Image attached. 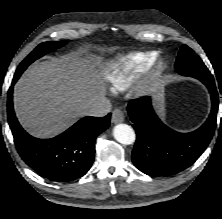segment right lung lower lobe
I'll return each instance as SVG.
<instances>
[{"label": "right lung lower lobe", "instance_id": "obj_1", "mask_svg": "<svg viewBox=\"0 0 222 219\" xmlns=\"http://www.w3.org/2000/svg\"><path fill=\"white\" fill-rule=\"evenodd\" d=\"M18 78L14 76L8 91L7 114L21 158L40 176L51 181L69 182L85 175L94 161L95 139L109 127L110 114L82 118L51 139L34 138L23 130L14 113L12 91Z\"/></svg>", "mask_w": 222, "mask_h": 219}]
</instances>
